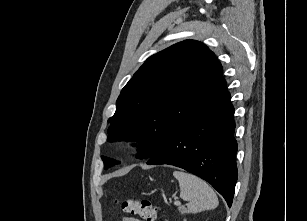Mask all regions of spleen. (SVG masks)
<instances>
[{"label":"spleen","mask_w":307,"mask_h":221,"mask_svg":"<svg viewBox=\"0 0 307 221\" xmlns=\"http://www.w3.org/2000/svg\"><path fill=\"white\" fill-rule=\"evenodd\" d=\"M173 176L179 181L180 197L188 202V212L198 213L218 206L215 192L204 180L182 171H174Z\"/></svg>","instance_id":"obj_1"}]
</instances>
